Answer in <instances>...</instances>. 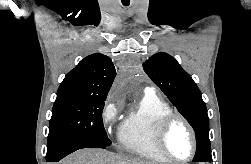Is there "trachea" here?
Segmentation results:
<instances>
[{
	"label": "trachea",
	"instance_id": "obj_1",
	"mask_svg": "<svg viewBox=\"0 0 251 164\" xmlns=\"http://www.w3.org/2000/svg\"><path fill=\"white\" fill-rule=\"evenodd\" d=\"M124 6H128L129 4H123Z\"/></svg>",
	"mask_w": 251,
	"mask_h": 164
}]
</instances>
